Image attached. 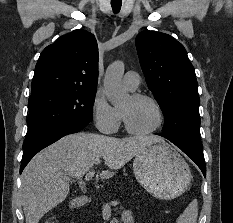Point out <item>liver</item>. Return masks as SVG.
Returning <instances> with one entry per match:
<instances>
[{"label":"liver","instance_id":"obj_1","mask_svg":"<svg viewBox=\"0 0 233 223\" xmlns=\"http://www.w3.org/2000/svg\"><path fill=\"white\" fill-rule=\"evenodd\" d=\"M156 141L164 139L159 135L109 137L80 131L48 145L22 171L20 197L25 223H39L47 211L68 197L70 187L64 175L80 179L102 157L107 169H101L99 177L110 179L116 169Z\"/></svg>","mask_w":233,"mask_h":223}]
</instances>
